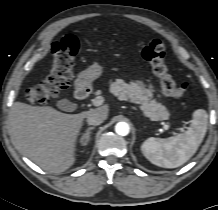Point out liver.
Instances as JSON below:
<instances>
[{"instance_id": "obj_1", "label": "liver", "mask_w": 218, "mask_h": 210, "mask_svg": "<svg viewBox=\"0 0 218 210\" xmlns=\"http://www.w3.org/2000/svg\"><path fill=\"white\" fill-rule=\"evenodd\" d=\"M108 105L78 114H66L49 106L15 102L10 122L15 140L24 154L50 173H61L75 163V147L83 121L91 113L107 118Z\"/></svg>"}]
</instances>
